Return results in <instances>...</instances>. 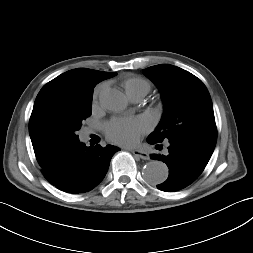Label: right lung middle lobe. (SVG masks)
Listing matches in <instances>:
<instances>
[{"instance_id": "right-lung-middle-lobe-1", "label": "right lung middle lobe", "mask_w": 253, "mask_h": 253, "mask_svg": "<svg viewBox=\"0 0 253 253\" xmlns=\"http://www.w3.org/2000/svg\"><path fill=\"white\" fill-rule=\"evenodd\" d=\"M93 93H59L45 99L33 116L34 130L46 140L68 148L79 141L77 131L91 115Z\"/></svg>"}]
</instances>
